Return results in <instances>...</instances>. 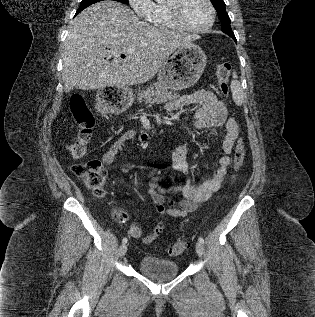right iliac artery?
Here are the masks:
<instances>
[{"instance_id":"82829eb1","label":"right iliac artery","mask_w":315,"mask_h":317,"mask_svg":"<svg viewBox=\"0 0 315 317\" xmlns=\"http://www.w3.org/2000/svg\"><path fill=\"white\" fill-rule=\"evenodd\" d=\"M127 241H128L127 238H123V239H122V243H123V244L127 243Z\"/></svg>"}]
</instances>
